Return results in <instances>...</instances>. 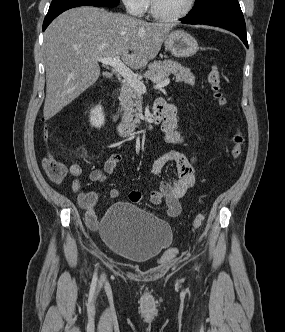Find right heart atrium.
I'll return each instance as SVG.
<instances>
[{
	"mask_svg": "<svg viewBox=\"0 0 285 332\" xmlns=\"http://www.w3.org/2000/svg\"><path fill=\"white\" fill-rule=\"evenodd\" d=\"M126 11L133 15H141L147 8L149 0H121Z\"/></svg>",
	"mask_w": 285,
	"mask_h": 332,
	"instance_id": "right-heart-atrium-1",
	"label": "right heart atrium"
}]
</instances>
